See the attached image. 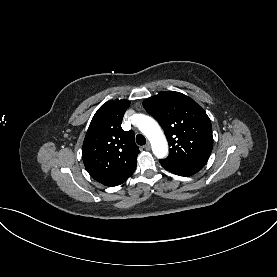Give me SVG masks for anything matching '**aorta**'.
Listing matches in <instances>:
<instances>
[{
    "label": "aorta",
    "instance_id": "aorta-1",
    "mask_svg": "<svg viewBox=\"0 0 277 277\" xmlns=\"http://www.w3.org/2000/svg\"><path fill=\"white\" fill-rule=\"evenodd\" d=\"M133 118L136 120L139 130L149 139L154 155L158 158H164L168 152V145L158 123L153 118L143 114H135Z\"/></svg>",
    "mask_w": 277,
    "mask_h": 277
}]
</instances>
